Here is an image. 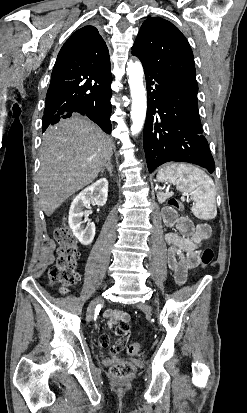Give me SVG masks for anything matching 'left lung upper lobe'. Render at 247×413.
<instances>
[{"label":"left lung upper lobe","mask_w":247,"mask_h":413,"mask_svg":"<svg viewBox=\"0 0 247 413\" xmlns=\"http://www.w3.org/2000/svg\"><path fill=\"white\" fill-rule=\"evenodd\" d=\"M132 54L157 73L198 92L190 45L169 21L160 17L146 19L132 47Z\"/></svg>","instance_id":"obj_1"}]
</instances>
